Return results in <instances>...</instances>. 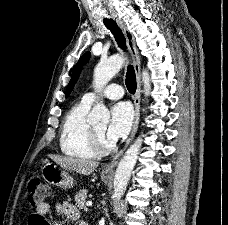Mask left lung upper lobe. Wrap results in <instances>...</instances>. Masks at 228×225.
<instances>
[{"mask_svg": "<svg viewBox=\"0 0 228 225\" xmlns=\"http://www.w3.org/2000/svg\"><path fill=\"white\" fill-rule=\"evenodd\" d=\"M89 57H90V53L89 52L85 53L80 58L77 65L75 66L74 71L72 73V78H71V80L67 86L66 97H68V95L70 94V92H71V90H72V88H73V86L77 80L79 72L81 71V67L89 60Z\"/></svg>", "mask_w": 228, "mask_h": 225, "instance_id": "5c2ea615", "label": "left lung upper lobe"}]
</instances>
